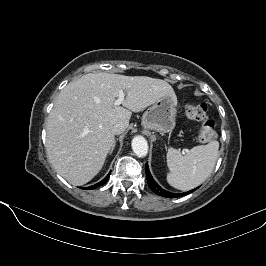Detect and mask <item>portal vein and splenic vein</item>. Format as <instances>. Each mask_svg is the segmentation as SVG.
I'll list each match as a JSON object with an SVG mask.
<instances>
[{
	"mask_svg": "<svg viewBox=\"0 0 266 266\" xmlns=\"http://www.w3.org/2000/svg\"><path fill=\"white\" fill-rule=\"evenodd\" d=\"M124 97H125V95H124L123 90H119L118 99L115 100L114 103H113L114 106H118V105L122 104L123 101H124Z\"/></svg>",
	"mask_w": 266,
	"mask_h": 266,
	"instance_id": "obj_1",
	"label": "portal vein and splenic vein"
}]
</instances>
